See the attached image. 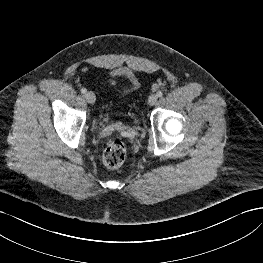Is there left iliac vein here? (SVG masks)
Listing matches in <instances>:
<instances>
[{
    "label": "left iliac vein",
    "mask_w": 263,
    "mask_h": 263,
    "mask_svg": "<svg viewBox=\"0 0 263 263\" xmlns=\"http://www.w3.org/2000/svg\"><path fill=\"white\" fill-rule=\"evenodd\" d=\"M157 95H155V94H152L150 97H149V99H148V104L150 105V106H152V105H154L156 102H157Z\"/></svg>",
    "instance_id": "left-iliac-vein-1"
}]
</instances>
